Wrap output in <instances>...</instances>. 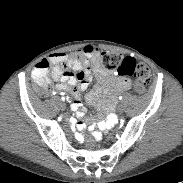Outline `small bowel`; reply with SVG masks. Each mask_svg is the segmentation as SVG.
I'll return each instance as SVG.
<instances>
[{
    "label": "small bowel",
    "mask_w": 183,
    "mask_h": 183,
    "mask_svg": "<svg viewBox=\"0 0 183 183\" xmlns=\"http://www.w3.org/2000/svg\"><path fill=\"white\" fill-rule=\"evenodd\" d=\"M87 61L84 64L73 63L64 53H56L50 55L48 61L52 67V77L59 81L57 85L58 91L71 93L73 101L70 108L76 112L78 117L84 116V107L81 103L80 93L85 91L92 81L93 73L98 78V84L88 95V101L92 104H97L98 98L102 93L108 94V101L111 105L117 93L124 92L130 88V82L124 77H110L106 71L100 66L99 50L95 46L88 45L84 48ZM120 123V118L117 115H112L106 120H99L93 123L89 129L95 134L104 132L107 128L117 126ZM67 129L77 140L83 141V130L86 124L83 121L77 123L74 117H69L66 120ZM99 132V133H98Z\"/></svg>",
    "instance_id": "c3829d8e"
}]
</instances>
